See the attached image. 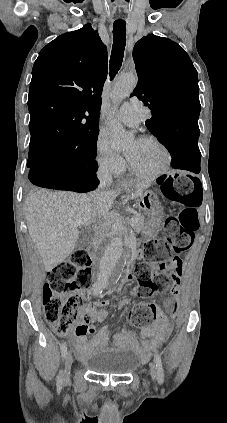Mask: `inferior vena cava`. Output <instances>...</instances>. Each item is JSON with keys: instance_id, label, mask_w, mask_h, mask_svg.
<instances>
[{"instance_id": "inferior-vena-cava-1", "label": "inferior vena cava", "mask_w": 227, "mask_h": 423, "mask_svg": "<svg viewBox=\"0 0 227 423\" xmlns=\"http://www.w3.org/2000/svg\"><path fill=\"white\" fill-rule=\"evenodd\" d=\"M97 178L100 182L98 192H106V190H110L113 178L111 176L110 166L107 162H101V164H99Z\"/></svg>"}]
</instances>
